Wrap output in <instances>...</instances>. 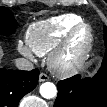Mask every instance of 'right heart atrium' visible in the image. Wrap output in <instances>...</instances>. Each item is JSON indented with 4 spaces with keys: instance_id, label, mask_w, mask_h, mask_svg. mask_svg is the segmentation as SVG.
I'll use <instances>...</instances> for the list:
<instances>
[{
    "instance_id": "d8ad5b80",
    "label": "right heart atrium",
    "mask_w": 107,
    "mask_h": 107,
    "mask_svg": "<svg viewBox=\"0 0 107 107\" xmlns=\"http://www.w3.org/2000/svg\"><path fill=\"white\" fill-rule=\"evenodd\" d=\"M18 50L21 54H23L24 56L28 57V58H33V52L32 50L29 48L28 45L19 42L18 43Z\"/></svg>"
}]
</instances>
